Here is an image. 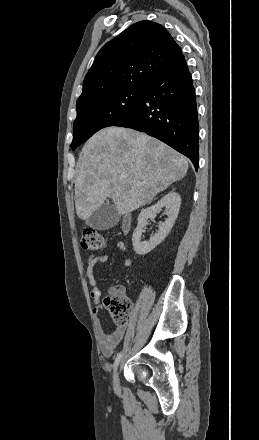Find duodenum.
Here are the masks:
<instances>
[{
  "label": "duodenum",
  "instance_id": "410a0bca",
  "mask_svg": "<svg viewBox=\"0 0 259 440\" xmlns=\"http://www.w3.org/2000/svg\"><path fill=\"white\" fill-rule=\"evenodd\" d=\"M131 223H132L131 215L130 214L125 215L123 220H122V231L124 233H127L130 230Z\"/></svg>",
  "mask_w": 259,
  "mask_h": 440
}]
</instances>
